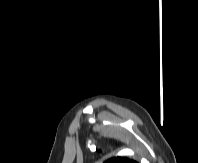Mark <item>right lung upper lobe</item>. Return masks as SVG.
Masks as SVG:
<instances>
[{"label": "right lung upper lobe", "mask_w": 198, "mask_h": 163, "mask_svg": "<svg viewBox=\"0 0 198 163\" xmlns=\"http://www.w3.org/2000/svg\"><path fill=\"white\" fill-rule=\"evenodd\" d=\"M104 163H138L134 160H130L126 157H113L107 161H105Z\"/></svg>", "instance_id": "cb5924a9"}]
</instances>
